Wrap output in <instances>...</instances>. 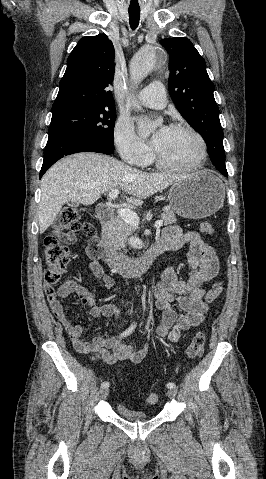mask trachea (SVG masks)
Listing matches in <instances>:
<instances>
[{"label":"trachea","mask_w":266,"mask_h":479,"mask_svg":"<svg viewBox=\"0 0 266 479\" xmlns=\"http://www.w3.org/2000/svg\"><path fill=\"white\" fill-rule=\"evenodd\" d=\"M130 27L135 30L139 24L140 9H128Z\"/></svg>","instance_id":"trachea-1"}]
</instances>
